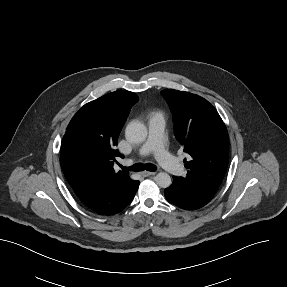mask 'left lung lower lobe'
<instances>
[{"label":"left lung lower lobe","instance_id":"0a47b994","mask_svg":"<svg viewBox=\"0 0 287 287\" xmlns=\"http://www.w3.org/2000/svg\"><path fill=\"white\" fill-rule=\"evenodd\" d=\"M164 193L170 203L185 210L199 209L210 202L215 195V192L201 185L178 177H173L172 185L166 188Z\"/></svg>","mask_w":287,"mask_h":287}]
</instances>
